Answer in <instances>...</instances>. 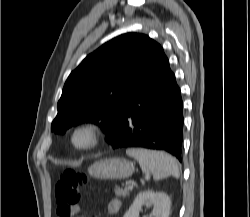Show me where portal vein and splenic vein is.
Here are the masks:
<instances>
[{"instance_id":"obj_1","label":"portal vein and splenic vein","mask_w":250,"mask_h":217,"mask_svg":"<svg viewBox=\"0 0 250 217\" xmlns=\"http://www.w3.org/2000/svg\"><path fill=\"white\" fill-rule=\"evenodd\" d=\"M125 189H126V190H131V189H133V184H126Z\"/></svg>"}]
</instances>
